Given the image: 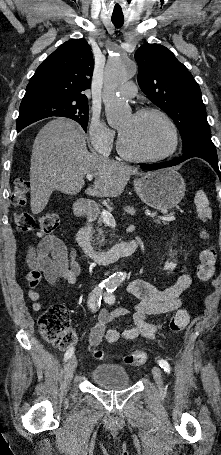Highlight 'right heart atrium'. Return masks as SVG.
<instances>
[{
	"label": "right heart atrium",
	"instance_id": "1",
	"mask_svg": "<svg viewBox=\"0 0 221 455\" xmlns=\"http://www.w3.org/2000/svg\"><path fill=\"white\" fill-rule=\"evenodd\" d=\"M88 134L91 148L100 155H108L112 149L115 132L99 117L92 116L88 125Z\"/></svg>",
	"mask_w": 221,
	"mask_h": 455
}]
</instances>
